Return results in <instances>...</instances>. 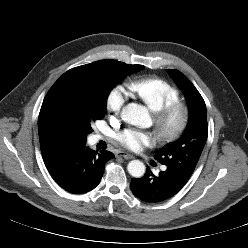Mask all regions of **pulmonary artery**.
<instances>
[{"instance_id":"obj_1","label":"pulmonary artery","mask_w":248,"mask_h":248,"mask_svg":"<svg viewBox=\"0 0 248 248\" xmlns=\"http://www.w3.org/2000/svg\"><path fill=\"white\" fill-rule=\"evenodd\" d=\"M99 139H100V136H94L93 139H92V143L97 142ZM162 169L165 170L166 168L163 167Z\"/></svg>"}]
</instances>
